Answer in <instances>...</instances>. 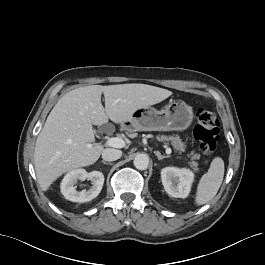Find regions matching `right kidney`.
Wrapping results in <instances>:
<instances>
[{"instance_id":"right-kidney-1","label":"right kidney","mask_w":265,"mask_h":265,"mask_svg":"<svg viewBox=\"0 0 265 265\" xmlns=\"http://www.w3.org/2000/svg\"><path fill=\"white\" fill-rule=\"evenodd\" d=\"M85 179L92 182L88 190L77 191L75 184L78 180ZM104 184V175L100 171L86 172L84 169H76L67 173L61 182V193L67 200L84 203L97 197Z\"/></svg>"}]
</instances>
